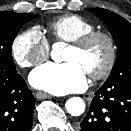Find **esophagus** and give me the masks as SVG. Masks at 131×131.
<instances>
[{
    "instance_id": "1",
    "label": "esophagus",
    "mask_w": 131,
    "mask_h": 131,
    "mask_svg": "<svg viewBox=\"0 0 131 131\" xmlns=\"http://www.w3.org/2000/svg\"><path fill=\"white\" fill-rule=\"evenodd\" d=\"M35 95H36V97H37L38 99H46V98H50V97H51L50 94L45 93V92H43V91H38V92H36Z\"/></svg>"
}]
</instances>
